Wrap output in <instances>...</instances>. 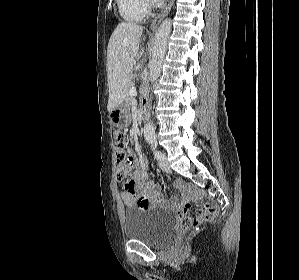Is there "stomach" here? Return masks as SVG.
Wrapping results in <instances>:
<instances>
[{"label": "stomach", "instance_id": "0dacf381", "mask_svg": "<svg viewBox=\"0 0 299 280\" xmlns=\"http://www.w3.org/2000/svg\"><path fill=\"white\" fill-rule=\"evenodd\" d=\"M110 121L117 128H125L129 126L131 120L129 115V104L123 102L117 108L110 112Z\"/></svg>", "mask_w": 299, "mask_h": 280}]
</instances>
